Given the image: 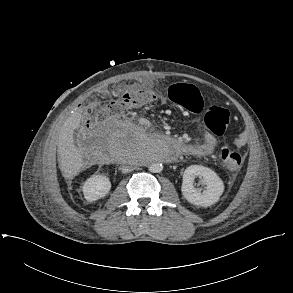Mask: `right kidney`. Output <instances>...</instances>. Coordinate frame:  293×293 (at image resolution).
<instances>
[{
	"label": "right kidney",
	"mask_w": 293,
	"mask_h": 293,
	"mask_svg": "<svg viewBox=\"0 0 293 293\" xmlns=\"http://www.w3.org/2000/svg\"><path fill=\"white\" fill-rule=\"evenodd\" d=\"M111 189L109 178L104 175H93L83 185L84 198L88 202H94L105 197Z\"/></svg>",
	"instance_id": "right-kidney-1"
}]
</instances>
